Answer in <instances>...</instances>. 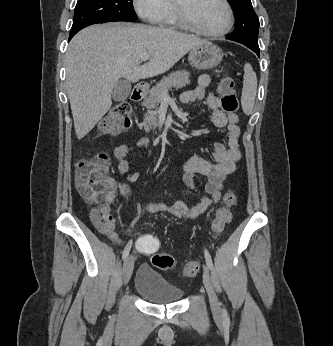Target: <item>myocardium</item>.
<instances>
[{
    "label": "myocardium",
    "instance_id": "1",
    "mask_svg": "<svg viewBox=\"0 0 333 346\" xmlns=\"http://www.w3.org/2000/svg\"><path fill=\"white\" fill-rule=\"evenodd\" d=\"M176 17L179 23L186 29L206 37H222L226 35L233 27L234 12L229 0H221L227 11V23L225 27L217 32H208L201 29L191 18L188 12V0H172Z\"/></svg>",
    "mask_w": 333,
    "mask_h": 346
}]
</instances>
